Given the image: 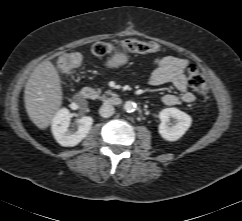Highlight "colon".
Wrapping results in <instances>:
<instances>
[{
    "instance_id": "colon-1",
    "label": "colon",
    "mask_w": 242,
    "mask_h": 221,
    "mask_svg": "<svg viewBox=\"0 0 242 221\" xmlns=\"http://www.w3.org/2000/svg\"><path fill=\"white\" fill-rule=\"evenodd\" d=\"M121 48L129 53L144 54L160 51L161 45L157 42H144L137 39H130L122 42ZM113 50V46L106 42H98L92 48L93 54L98 57L108 56L112 54ZM81 62L82 55L80 52H67L57 60L56 68L60 73L66 74L77 69L81 65ZM187 75L191 88L198 95L206 97L208 95V86L200 69L196 65L190 64L187 68Z\"/></svg>"
}]
</instances>
